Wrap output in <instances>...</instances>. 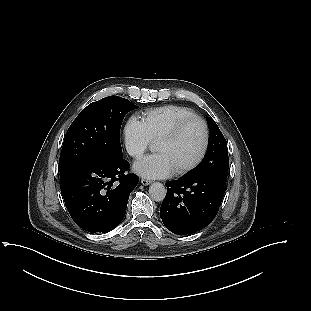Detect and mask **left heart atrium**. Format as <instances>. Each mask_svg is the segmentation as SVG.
<instances>
[{"instance_id":"1","label":"left heart atrium","mask_w":311,"mask_h":311,"mask_svg":"<svg viewBox=\"0 0 311 311\" xmlns=\"http://www.w3.org/2000/svg\"><path fill=\"white\" fill-rule=\"evenodd\" d=\"M133 169L140 176L149 179L165 178L174 172L167 156L161 152L142 158L134 164Z\"/></svg>"}]
</instances>
